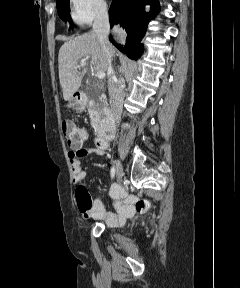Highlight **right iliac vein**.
Listing matches in <instances>:
<instances>
[{"mask_svg": "<svg viewBox=\"0 0 240 288\" xmlns=\"http://www.w3.org/2000/svg\"><path fill=\"white\" fill-rule=\"evenodd\" d=\"M114 169L116 172V182L119 184L123 176V168L119 160H116Z\"/></svg>", "mask_w": 240, "mask_h": 288, "instance_id": "obj_1", "label": "right iliac vein"}]
</instances>
